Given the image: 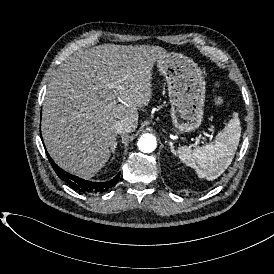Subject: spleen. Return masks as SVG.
Returning <instances> with one entry per match:
<instances>
[{"instance_id": "obj_1", "label": "spleen", "mask_w": 274, "mask_h": 274, "mask_svg": "<svg viewBox=\"0 0 274 274\" xmlns=\"http://www.w3.org/2000/svg\"><path fill=\"white\" fill-rule=\"evenodd\" d=\"M241 136L238 114H234L223 131L219 132L214 142L197 147L194 150L187 146L179 148V158L193 167L199 178L214 180L231 164Z\"/></svg>"}]
</instances>
